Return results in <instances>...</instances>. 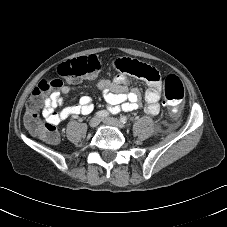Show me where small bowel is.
Instances as JSON below:
<instances>
[{
  "label": "small bowel",
  "mask_w": 227,
  "mask_h": 227,
  "mask_svg": "<svg viewBox=\"0 0 227 227\" xmlns=\"http://www.w3.org/2000/svg\"><path fill=\"white\" fill-rule=\"evenodd\" d=\"M130 59L122 58L117 59L113 67L119 71V73L112 79H102L95 81L90 79L91 84L100 89L103 93L104 99L108 104V110L112 113H117L120 110L133 111L139 108L140 100L139 94L135 89H128L130 83L127 70ZM147 89L144 92V99L146 101L145 111L148 114L156 115L160 111V91L161 80L160 77L156 80H148ZM71 88L67 85L62 86L59 90L53 91L45 100V105L42 110V116L47 124L57 126L63 120L70 116L83 114H90L94 105L90 96H82L79 102L72 106H66L61 111L57 112L56 109L61 105L62 96L67 95Z\"/></svg>",
  "instance_id": "obj_1"
}]
</instances>
